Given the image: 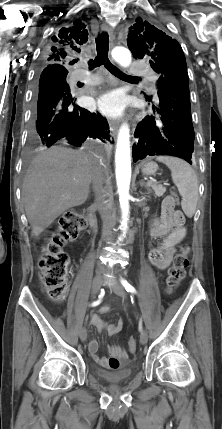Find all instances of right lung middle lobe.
<instances>
[{
  "label": "right lung middle lobe",
  "mask_w": 222,
  "mask_h": 429,
  "mask_svg": "<svg viewBox=\"0 0 222 429\" xmlns=\"http://www.w3.org/2000/svg\"><path fill=\"white\" fill-rule=\"evenodd\" d=\"M67 74H64L63 77L66 79Z\"/></svg>",
  "instance_id": "obj_1"
}]
</instances>
